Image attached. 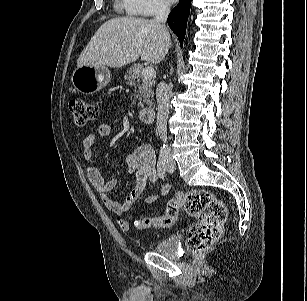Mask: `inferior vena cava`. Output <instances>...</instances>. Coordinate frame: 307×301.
Masks as SVG:
<instances>
[{
	"label": "inferior vena cava",
	"instance_id": "obj_1",
	"mask_svg": "<svg viewBox=\"0 0 307 301\" xmlns=\"http://www.w3.org/2000/svg\"><path fill=\"white\" fill-rule=\"evenodd\" d=\"M170 12V6L167 3L161 2L158 4L156 13H155V20L160 23L163 27L164 33L167 37H169V32L165 27V23L167 17ZM171 98V90L170 88L164 83L160 82L156 88V99H157V131L162 139V141L167 145V120L169 115V102Z\"/></svg>",
	"mask_w": 307,
	"mask_h": 301
}]
</instances>
